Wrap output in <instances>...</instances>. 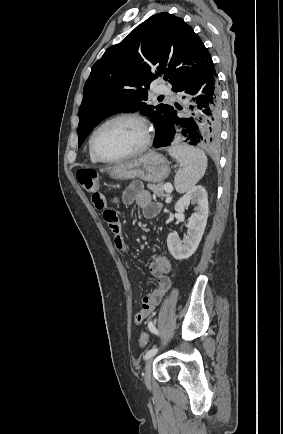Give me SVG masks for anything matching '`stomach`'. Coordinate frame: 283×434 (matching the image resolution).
I'll return each mask as SVG.
<instances>
[{
  "label": "stomach",
  "instance_id": "1",
  "mask_svg": "<svg viewBox=\"0 0 283 434\" xmlns=\"http://www.w3.org/2000/svg\"><path fill=\"white\" fill-rule=\"evenodd\" d=\"M107 173L117 180L140 178L147 182L160 183L168 177L170 168L163 155L151 151L133 160L114 165Z\"/></svg>",
  "mask_w": 283,
  "mask_h": 434
}]
</instances>
